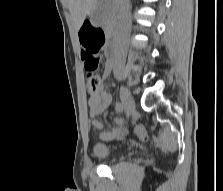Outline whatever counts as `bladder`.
Wrapping results in <instances>:
<instances>
[{"label":"bladder","mask_w":223,"mask_h":191,"mask_svg":"<svg viewBox=\"0 0 223 191\" xmlns=\"http://www.w3.org/2000/svg\"><path fill=\"white\" fill-rule=\"evenodd\" d=\"M116 150L109 145L97 143L93 147V156L99 160H107L115 154Z\"/></svg>","instance_id":"obj_1"}]
</instances>
